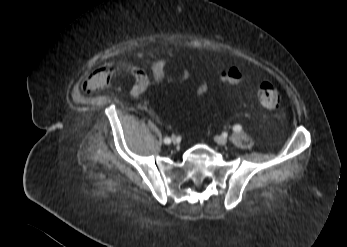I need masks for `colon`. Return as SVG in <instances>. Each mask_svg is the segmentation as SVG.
Returning a JSON list of instances; mask_svg holds the SVG:
<instances>
[{"instance_id": "colon-1", "label": "colon", "mask_w": 347, "mask_h": 247, "mask_svg": "<svg viewBox=\"0 0 347 247\" xmlns=\"http://www.w3.org/2000/svg\"><path fill=\"white\" fill-rule=\"evenodd\" d=\"M240 78L241 74L235 68L222 73V80L226 83L236 84L240 81ZM256 98L265 108L273 109L278 106L280 97L278 94V87L273 78L264 77L260 80L256 85ZM171 101L172 97H167L166 103L169 104Z\"/></svg>"}]
</instances>
